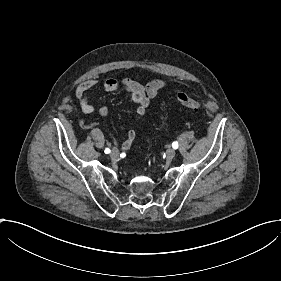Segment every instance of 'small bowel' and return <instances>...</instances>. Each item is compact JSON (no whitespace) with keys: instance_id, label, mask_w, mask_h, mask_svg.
I'll return each instance as SVG.
<instances>
[{"instance_id":"c3829d8e","label":"small bowel","mask_w":281,"mask_h":281,"mask_svg":"<svg viewBox=\"0 0 281 281\" xmlns=\"http://www.w3.org/2000/svg\"><path fill=\"white\" fill-rule=\"evenodd\" d=\"M97 80H88L79 84L75 91V96L79 101L82 112L87 114L98 113L101 116H107L109 110L105 106L96 107L89 102V92L96 87ZM120 84L128 92L131 101L135 105L134 114L136 118L145 115L152 98H154L166 85L164 79H154L146 85H142L128 77L122 78L121 81L110 78L106 80L100 90L103 93L114 92L119 89ZM135 139V132L130 130L126 140L122 144V149H128Z\"/></svg>"}]
</instances>
